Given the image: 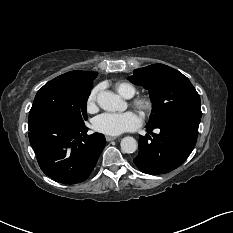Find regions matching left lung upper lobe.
Masks as SVG:
<instances>
[{
	"label": "left lung upper lobe",
	"instance_id": "5c2ea615",
	"mask_svg": "<svg viewBox=\"0 0 233 233\" xmlns=\"http://www.w3.org/2000/svg\"><path fill=\"white\" fill-rule=\"evenodd\" d=\"M129 80L149 91L153 108L148 124L169 116H202L199 94L186 76L169 66L136 69Z\"/></svg>",
	"mask_w": 233,
	"mask_h": 233
}]
</instances>
